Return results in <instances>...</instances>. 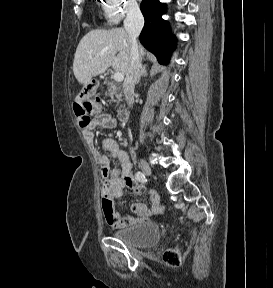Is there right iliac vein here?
Instances as JSON below:
<instances>
[{"label":"right iliac vein","instance_id":"1","mask_svg":"<svg viewBox=\"0 0 273 288\" xmlns=\"http://www.w3.org/2000/svg\"><path fill=\"white\" fill-rule=\"evenodd\" d=\"M139 166L145 175L150 176L152 174L151 167L145 160L141 159Z\"/></svg>","mask_w":273,"mask_h":288}]
</instances>
